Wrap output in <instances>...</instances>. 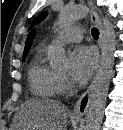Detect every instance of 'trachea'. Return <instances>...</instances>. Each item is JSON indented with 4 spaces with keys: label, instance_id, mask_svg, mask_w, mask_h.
<instances>
[{
    "label": "trachea",
    "instance_id": "1",
    "mask_svg": "<svg viewBox=\"0 0 123 130\" xmlns=\"http://www.w3.org/2000/svg\"><path fill=\"white\" fill-rule=\"evenodd\" d=\"M91 34H92L93 38H95V39L99 38V31L96 28L92 29Z\"/></svg>",
    "mask_w": 123,
    "mask_h": 130
}]
</instances>
